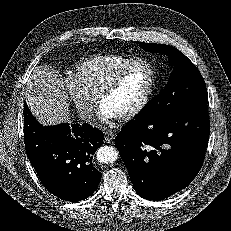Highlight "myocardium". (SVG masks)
<instances>
[{"instance_id":"f54148a6","label":"myocardium","mask_w":231,"mask_h":231,"mask_svg":"<svg viewBox=\"0 0 231 231\" xmlns=\"http://www.w3.org/2000/svg\"><path fill=\"white\" fill-rule=\"evenodd\" d=\"M144 64L148 66V68L151 71V81L149 84V87L144 94V96L141 98V100L128 112L118 116L119 120L127 121L131 120L135 116H137L139 113L143 111V109L147 106L149 101L151 100L158 82V73L156 70V67L154 64L147 60V59H135L130 64L119 70L115 75H113L106 83L103 85L101 90L99 91L97 97L99 99V102L103 104L104 99L112 93L122 82L124 77L127 75V73L132 70L134 67Z\"/></svg>"}]
</instances>
